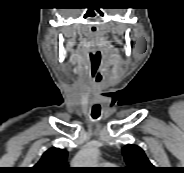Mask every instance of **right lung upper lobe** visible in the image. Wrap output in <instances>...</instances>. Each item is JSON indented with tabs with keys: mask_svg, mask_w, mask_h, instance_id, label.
I'll list each match as a JSON object with an SVG mask.
<instances>
[{
	"mask_svg": "<svg viewBox=\"0 0 184 173\" xmlns=\"http://www.w3.org/2000/svg\"><path fill=\"white\" fill-rule=\"evenodd\" d=\"M68 152L64 149H48L39 162L32 167L31 173H70L67 167Z\"/></svg>",
	"mask_w": 184,
	"mask_h": 173,
	"instance_id": "right-lung-upper-lobe-1",
	"label": "right lung upper lobe"
}]
</instances>
